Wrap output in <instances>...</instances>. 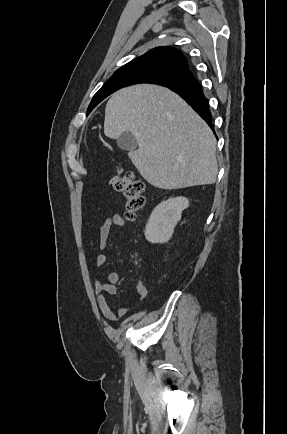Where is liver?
<instances>
[{
    "label": "liver",
    "mask_w": 287,
    "mask_h": 434,
    "mask_svg": "<svg viewBox=\"0 0 287 434\" xmlns=\"http://www.w3.org/2000/svg\"><path fill=\"white\" fill-rule=\"evenodd\" d=\"M131 132L139 145L129 157L140 175L160 189L213 184L216 139L206 122L176 93L157 85L121 89L108 100L104 134Z\"/></svg>",
    "instance_id": "liver-1"
}]
</instances>
